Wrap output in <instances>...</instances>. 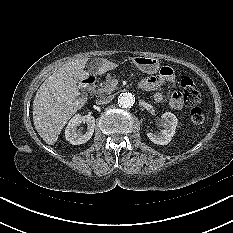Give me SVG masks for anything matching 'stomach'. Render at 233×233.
Instances as JSON below:
<instances>
[{
  "mask_svg": "<svg viewBox=\"0 0 233 233\" xmlns=\"http://www.w3.org/2000/svg\"><path fill=\"white\" fill-rule=\"evenodd\" d=\"M135 66L142 72L147 74H154L159 70L160 63L155 57L138 56L133 59Z\"/></svg>",
  "mask_w": 233,
  "mask_h": 233,
  "instance_id": "stomach-1",
  "label": "stomach"
}]
</instances>
